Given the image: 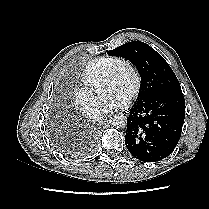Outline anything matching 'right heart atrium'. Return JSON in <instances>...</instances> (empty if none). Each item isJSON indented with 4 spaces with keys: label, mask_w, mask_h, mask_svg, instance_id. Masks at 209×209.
Listing matches in <instances>:
<instances>
[{
    "label": "right heart atrium",
    "mask_w": 209,
    "mask_h": 209,
    "mask_svg": "<svg viewBox=\"0 0 209 209\" xmlns=\"http://www.w3.org/2000/svg\"><path fill=\"white\" fill-rule=\"evenodd\" d=\"M72 100L75 107L87 118L96 120L102 116V103L91 89L76 88Z\"/></svg>",
    "instance_id": "right-heart-atrium-1"
}]
</instances>
